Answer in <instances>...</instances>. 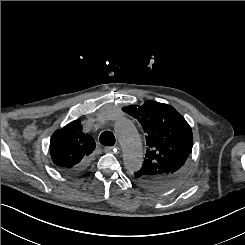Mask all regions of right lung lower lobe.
Returning a JSON list of instances; mask_svg holds the SVG:
<instances>
[{
	"mask_svg": "<svg viewBox=\"0 0 245 245\" xmlns=\"http://www.w3.org/2000/svg\"><path fill=\"white\" fill-rule=\"evenodd\" d=\"M88 166H89V158L84 160L83 162H81L78 166H76L72 170H69V171L63 170V171H65L67 173H71V174H76V173H79V172L85 170Z\"/></svg>",
	"mask_w": 245,
	"mask_h": 245,
	"instance_id": "98d812e1",
	"label": "right lung lower lobe"
}]
</instances>
